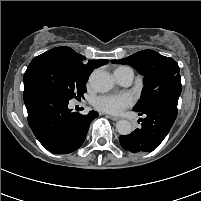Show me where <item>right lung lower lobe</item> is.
Returning a JSON list of instances; mask_svg holds the SVG:
<instances>
[{"mask_svg":"<svg viewBox=\"0 0 201 201\" xmlns=\"http://www.w3.org/2000/svg\"><path fill=\"white\" fill-rule=\"evenodd\" d=\"M69 100L58 92L37 84L25 85L24 103L28 123L35 137L50 152L67 154L84 142L90 122L98 116L71 112Z\"/></svg>","mask_w":201,"mask_h":201,"instance_id":"98d812e1","label":"right lung lower lobe"}]
</instances>
